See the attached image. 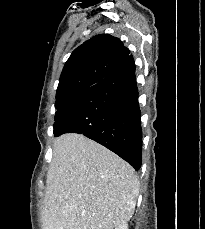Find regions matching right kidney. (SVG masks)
<instances>
[{"mask_svg":"<svg viewBox=\"0 0 205 229\" xmlns=\"http://www.w3.org/2000/svg\"><path fill=\"white\" fill-rule=\"evenodd\" d=\"M115 229H128V225L126 224V222L118 225Z\"/></svg>","mask_w":205,"mask_h":229,"instance_id":"1","label":"right kidney"}]
</instances>
